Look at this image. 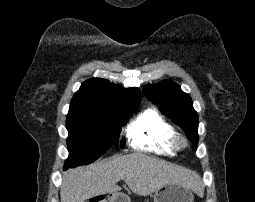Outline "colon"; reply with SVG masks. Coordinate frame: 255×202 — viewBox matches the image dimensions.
Masks as SVG:
<instances>
[{"label": "colon", "instance_id": "obj_1", "mask_svg": "<svg viewBox=\"0 0 255 202\" xmlns=\"http://www.w3.org/2000/svg\"><path fill=\"white\" fill-rule=\"evenodd\" d=\"M91 202H102V199L101 198H95V199L91 200Z\"/></svg>", "mask_w": 255, "mask_h": 202}]
</instances>
